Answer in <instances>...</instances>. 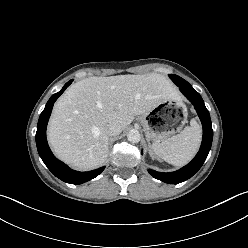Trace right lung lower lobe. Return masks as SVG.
I'll use <instances>...</instances> for the list:
<instances>
[{
  "instance_id": "98d812e1",
  "label": "right lung lower lobe",
  "mask_w": 248,
  "mask_h": 248,
  "mask_svg": "<svg viewBox=\"0 0 248 248\" xmlns=\"http://www.w3.org/2000/svg\"><path fill=\"white\" fill-rule=\"evenodd\" d=\"M73 80L67 82L64 87L56 94H53L49 101L47 102L43 112L39 117V121L37 124V132H36V145L38 149V153L48 167V169L54 174L57 178L61 179L64 182L70 184H82L86 181H89L96 176H98L103 170L104 167H100L93 171L89 172H78L75 170L70 169L67 165L63 162L59 161L55 158L52 154L46 139V128L47 123L53 108V105L57 98L64 92V90L72 83Z\"/></svg>"
}]
</instances>
